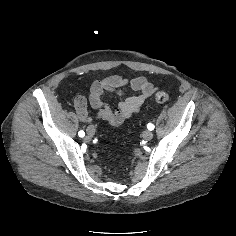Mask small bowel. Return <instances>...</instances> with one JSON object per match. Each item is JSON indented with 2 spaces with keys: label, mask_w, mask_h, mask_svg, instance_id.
Returning a JSON list of instances; mask_svg holds the SVG:
<instances>
[{
  "label": "small bowel",
  "mask_w": 236,
  "mask_h": 236,
  "mask_svg": "<svg viewBox=\"0 0 236 236\" xmlns=\"http://www.w3.org/2000/svg\"><path fill=\"white\" fill-rule=\"evenodd\" d=\"M129 86L135 92L126 97L113 108L103 100L104 93L117 96L124 95V88ZM156 87L146 77L131 76L129 78L120 75H110L92 83L89 91L88 102L96 111L94 116L88 112V102L84 96H77L74 107L79 119L83 122L101 120L112 126H120L125 120L138 113L143 103L153 95Z\"/></svg>",
  "instance_id": "1"
}]
</instances>
